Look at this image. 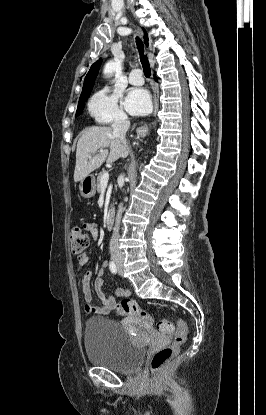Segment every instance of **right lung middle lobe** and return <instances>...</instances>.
<instances>
[{
	"label": "right lung middle lobe",
	"mask_w": 266,
	"mask_h": 415,
	"mask_svg": "<svg viewBox=\"0 0 266 415\" xmlns=\"http://www.w3.org/2000/svg\"><path fill=\"white\" fill-rule=\"evenodd\" d=\"M89 95L90 94L88 93L87 95H84V96L80 97L78 107H77V111H76V116H79L83 112L84 103L87 100V98L89 97Z\"/></svg>",
	"instance_id": "dd1d6c3e"
}]
</instances>
